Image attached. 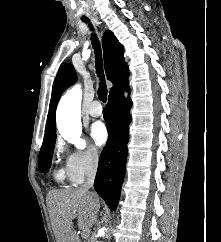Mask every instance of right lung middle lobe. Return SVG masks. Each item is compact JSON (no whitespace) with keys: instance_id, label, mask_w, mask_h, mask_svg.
<instances>
[{"instance_id":"dd1d6c3e","label":"right lung middle lobe","mask_w":221,"mask_h":242,"mask_svg":"<svg viewBox=\"0 0 221 242\" xmlns=\"http://www.w3.org/2000/svg\"><path fill=\"white\" fill-rule=\"evenodd\" d=\"M55 141L56 136L44 139L38 161L39 171L42 173H46L50 168Z\"/></svg>"}]
</instances>
